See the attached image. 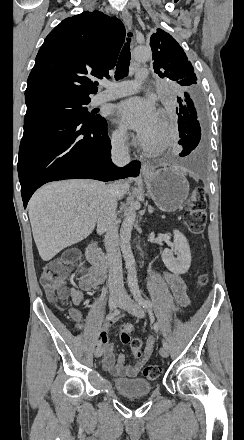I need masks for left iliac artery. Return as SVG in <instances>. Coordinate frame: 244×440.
<instances>
[{
  "instance_id": "44dca946",
  "label": "left iliac artery",
  "mask_w": 244,
  "mask_h": 440,
  "mask_svg": "<svg viewBox=\"0 0 244 440\" xmlns=\"http://www.w3.org/2000/svg\"><path fill=\"white\" fill-rule=\"evenodd\" d=\"M132 293H133V297L134 299L139 303V305H141L143 308L145 309H152L153 308V303L148 300V299H144L140 293L139 287L137 285H134L132 287ZM154 329L158 332L159 330V324L156 322L154 324ZM162 344L163 347L168 349V343L165 340H162Z\"/></svg>"
}]
</instances>
